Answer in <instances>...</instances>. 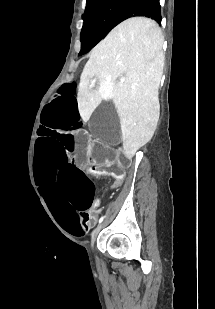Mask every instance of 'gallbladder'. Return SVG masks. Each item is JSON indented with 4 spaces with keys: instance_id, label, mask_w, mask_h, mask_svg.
Masks as SVG:
<instances>
[{
    "instance_id": "gallbladder-1",
    "label": "gallbladder",
    "mask_w": 215,
    "mask_h": 309,
    "mask_svg": "<svg viewBox=\"0 0 215 309\" xmlns=\"http://www.w3.org/2000/svg\"><path fill=\"white\" fill-rule=\"evenodd\" d=\"M98 103L97 109L91 115L90 132L102 140V144H109L110 148H115L116 144L121 143L119 117L116 115L114 104L104 101ZM107 102V103H106Z\"/></svg>"
}]
</instances>
